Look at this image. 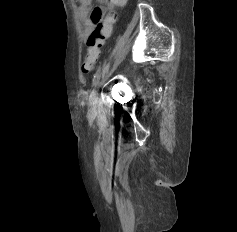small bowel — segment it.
Instances as JSON below:
<instances>
[{
  "instance_id": "small-bowel-1",
  "label": "small bowel",
  "mask_w": 237,
  "mask_h": 232,
  "mask_svg": "<svg viewBox=\"0 0 237 232\" xmlns=\"http://www.w3.org/2000/svg\"><path fill=\"white\" fill-rule=\"evenodd\" d=\"M79 19L84 26L83 37L86 39L100 24L109 9L113 6L112 0H96L100 5L92 6L93 0H79Z\"/></svg>"
}]
</instances>
